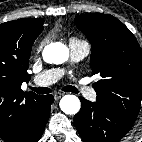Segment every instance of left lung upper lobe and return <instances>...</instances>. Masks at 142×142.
Returning <instances> with one entry per match:
<instances>
[{"label": "left lung upper lobe", "mask_w": 142, "mask_h": 142, "mask_svg": "<svg viewBox=\"0 0 142 142\" xmlns=\"http://www.w3.org/2000/svg\"><path fill=\"white\" fill-rule=\"evenodd\" d=\"M75 23L92 46L90 65L97 101L135 120L142 99V57L134 35L109 14H83Z\"/></svg>", "instance_id": "5c2ea615"}]
</instances>
